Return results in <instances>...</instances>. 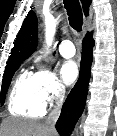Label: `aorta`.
Masks as SVG:
<instances>
[{
  "instance_id": "aorta-1",
  "label": "aorta",
  "mask_w": 117,
  "mask_h": 136,
  "mask_svg": "<svg viewBox=\"0 0 117 136\" xmlns=\"http://www.w3.org/2000/svg\"><path fill=\"white\" fill-rule=\"evenodd\" d=\"M45 25H46V33H45L46 44L47 46H51L56 29V21L54 17L52 16L47 17L45 20Z\"/></svg>"
}]
</instances>
